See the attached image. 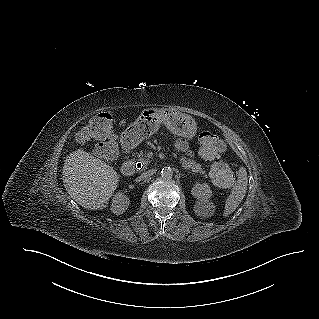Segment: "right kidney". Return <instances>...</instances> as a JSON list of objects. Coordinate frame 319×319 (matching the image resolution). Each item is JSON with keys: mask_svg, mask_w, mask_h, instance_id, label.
Returning <instances> with one entry per match:
<instances>
[{"mask_svg": "<svg viewBox=\"0 0 319 319\" xmlns=\"http://www.w3.org/2000/svg\"><path fill=\"white\" fill-rule=\"evenodd\" d=\"M129 203L128 197L119 192L112 200L111 211L116 215L123 214L128 208Z\"/></svg>", "mask_w": 319, "mask_h": 319, "instance_id": "obj_1", "label": "right kidney"}]
</instances>
